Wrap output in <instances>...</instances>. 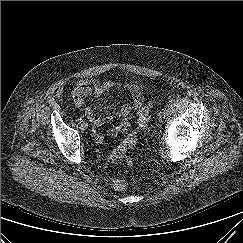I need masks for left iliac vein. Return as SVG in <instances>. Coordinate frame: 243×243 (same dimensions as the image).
Here are the masks:
<instances>
[{
  "label": "left iliac vein",
  "mask_w": 243,
  "mask_h": 243,
  "mask_svg": "<svg viewBox=\"0 0 243 243\" xmlns=\"http://www.w3.org/2000/svg\"><path fill=\"white\" fill-rule=\"evenodd\" d=\"M162 122V119H161V117L160 116H157V118H156V124H160Z\"/></svg>",
  "instance_id": "obj_1"
}]
</instances>
